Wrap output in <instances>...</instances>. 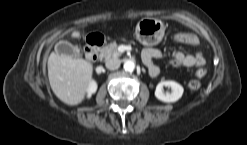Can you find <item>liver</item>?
I'll return each instance as SVG.
<instances>
[{
	"instance_id": "6515ba94",
	"label": "liver",
	"mask_w": 247,
	"mask_h": 145,
	"mask_svg": "<svg viewBox=\"0 0 247 145\" xmlns=\"http://www.w3.org/2000/svg\"><path fill=\"white\" fill-rule=\"evenodd\" d=\"M73 32V37H79ZM93 74V65L82 58L52 52L48 58V77L54 94L65 104L78 105L85 97Z\"/></svg>"
}]
</instances>
